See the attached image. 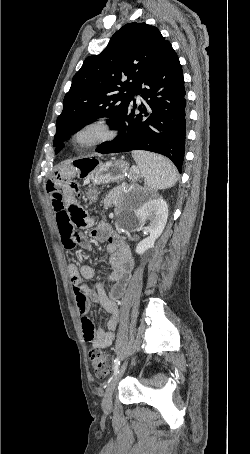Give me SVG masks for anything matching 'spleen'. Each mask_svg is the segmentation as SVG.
I'll use <instances>...</instances> for the list:
<instances>
[{"label": "spleen", "instance_id": "1", "mask_svg": "<svg viewBox=\"0 0 250 454\" xmlns=\"http://www.w3.org/2000/svg\"><path fill=\"white\" fill-rule=\"evenodd\" d=\"M132 157L150 190L167 189L176 184V169L166 157L145 151H133Z\"/></svg>", "mask_w": 250, "mask_h": 454}]
</instances>
